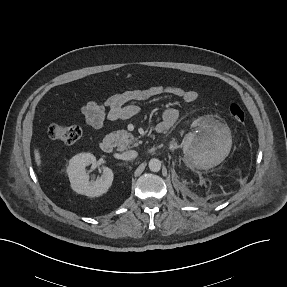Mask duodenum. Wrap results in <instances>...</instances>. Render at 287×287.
<instances>
[{"label":"duodenum","mask_w":287,"mask_h":287,"mask_svg":"<svg viewBox=\"0 0 287 287\" xmlns=\"http://www.w3.org/2000/svg\"><path fill=\"white\" fill-rule=\"evenodd\" d=\"M156 131L158 133L164 132L163 126H159L156 128ZM100 148L104 153H110L113 151L114 148V141L111 137H105L101 143H100Z\"/></svg>","instance_id":"410a0bca"}]
</instances>
